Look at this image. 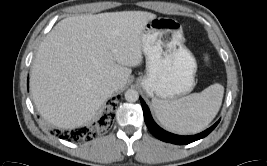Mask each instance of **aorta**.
<instances>
[{"label": "aorta", "instance_id": "aorta-1", "mask_svg": "<svg viewBox=\"0 0 267 166\" xmlns=\"http://www.w3.org/2000/svg\"><path fill=\"white\" fill-rule=\"evenodd\" d=\"M139 98V94L136 90L134 89H128L126 92H125V99L128 101V102H136Z\"/></svg>", "mask_w": 267, "mask_h": 166}]
</instances>
